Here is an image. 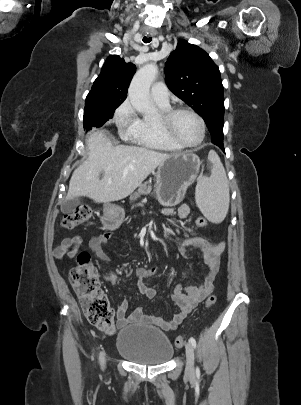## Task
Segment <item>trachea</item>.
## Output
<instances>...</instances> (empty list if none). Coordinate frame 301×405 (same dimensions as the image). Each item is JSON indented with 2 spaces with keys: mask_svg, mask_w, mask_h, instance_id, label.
I'll list each match as a JSON object with an SVG mask.
<instances>
[{
  "mask_svg": "<svg viewBox=\"0 0 301 405\" xmlns=\"http://www.w3.org/2000/svg\"><path fill=\"white\" fill-rule=\"evenodd\" d=\"M151 40H152L151 37H144V38H143V42H144V43H149V42H151Z\"/></svg>",
  "mask_w": 301,
  "mask_h": 405,
  "instance_id": "3493384b",
  "label": "trachea"
}]
</instances>
